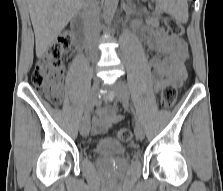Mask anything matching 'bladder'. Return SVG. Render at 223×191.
<instances>
[{
  "label": "bladder",
  "mask_w": 223,
  "mask_h": 191,
  "mask_svg": "<svg viewBox=\"0 0 223 191\" xmlns=\"http://www.w3.org/2000/svg\"><path fill=\"white\" fill-rule=\"evenodd\" d=\"M125 152L123 143L112 137L101 139L95 147V153L100 157H120Z\"/></svg>",
  "instance_id": "bladder-1"
}]
</instances>
